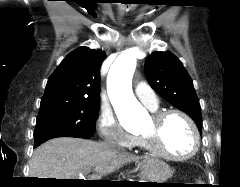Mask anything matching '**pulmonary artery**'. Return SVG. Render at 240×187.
I'll use <instances>...</instances> for the list:
<instances>
[{
	"label": "pulmonary artery",
	"instance_id": "pulmonary-artery-1",
	"mask_svg": "<svg viewBox=\"0 0 240 187\" xmlns=\"http://www.w3.org/2000/svg\"><path fill=\"white\" fill-rule=\"evenodd\" d=\"M135 94L138 99L149 109L156 110L158 107V100L152 88L144 83L139 82L135 85L134 88Z\"/></svg>",
	"mask_w": 240,
	"mask_h": 187
}]
</instances>
